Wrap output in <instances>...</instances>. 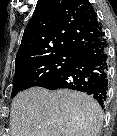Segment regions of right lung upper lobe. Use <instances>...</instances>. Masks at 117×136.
<instances>
[{"instance_id":"1","label":"right lung upper lobe","mask_w":117,"mask_h":136,"mask_svg":"<svg viewBox=\"0 0 117 136\" xmlns=\"http://www.w3.org/2000/svg\"><path fill=\"white\" fill-rule=\"evenodd\" d=\"M102 25L88 0H38L24 31L15 68L61 52L79 53Z\"/></svg>"}]
</instances>
